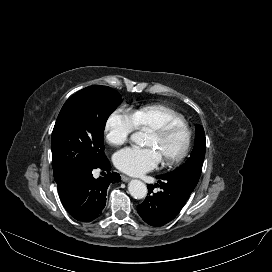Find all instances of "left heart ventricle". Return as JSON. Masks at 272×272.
Masks as SVG:
<instances>
[{"mask_svg": "<svg viewBox=\"0 0 272 272\" xmlns=\"http://www.w3.org/2000/svg\"><path fill=\"white\" fill-rule=\"evenodd\" d=\"M183 142L184 135L181 132H177L167 139H160L151 133L147 139L146 145L156 149L161 155V158H168L180 150Z\"/></svg>", "mask_w": 272, "mask_h": 272, "instance_id": "1", "label": "left heart ventricle"}]
</instances>
